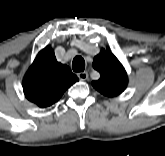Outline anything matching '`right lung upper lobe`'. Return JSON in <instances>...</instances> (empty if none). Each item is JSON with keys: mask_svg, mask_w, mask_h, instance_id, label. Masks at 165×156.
I'll list each match as a JSON object with an SVG mask.
<instances>
[{"mask_svg": "<svg viewBox=\"0 0 165 156\" xmlns=\"http://www.w3.org/2000/svg\"><path fill=\"white\" fill-rule=\"evenodd\" d=\"M78 78L67 65L57 62L50 46L39 52L23 80L26 98L47 107L57 102Z\"/></svg>", "mask_w": 165, "mask_h": 156, "instance_id": "obj_1", "label": "right lung upper lobe"}]
</instances>
